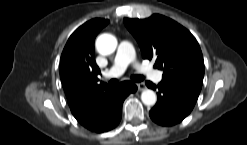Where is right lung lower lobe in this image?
<instances>
[{
  "label": "right lung lower lobe",
  "mask_w": 247,
  "mask_h": 145,
  "mask_svg": "<svg viewBox=\"0 0 247 145\" xmlns=\"http://www.w3.org/2000/svg\"><path fill=\"white\" fill-rule=\"evenodd\" d=\"M136 90L137 86L131 81L121 82L117 87L109 88L96 96L73 115L82 126L91 131H109L121 120L124 99Z\"/></svg>",
  "instance_id": "1"
}]
</instances>
